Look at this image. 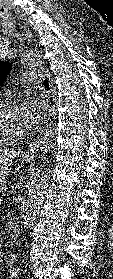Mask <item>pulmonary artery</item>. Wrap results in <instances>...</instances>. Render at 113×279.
Listing matches in <instances>:
<instances>
[{"mask_svg": "<svg viewBox=\"0 0 113 279\" xmlns=\"http://www.w3.org/2000/svg\"><path fill=\"white\" fill-rule=\"evenodd\" d=\"M21 77L24 79V85L29 86L31 82L38 81L42 77V75L41 74L33 75L31 73H25L21 75Z\"/></svg>", "mask_w": 113, "mask_h": 279, "instance_id": "pulmonary-artery-1", "label": "pulmonary artery"}]
</instances>
